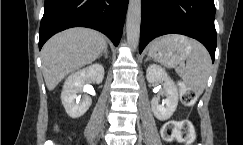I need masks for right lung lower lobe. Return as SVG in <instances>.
<instances>
[{
    "instance_id": "right-lung-lower-lobe-1",
    "label": "right lung lower lobe",
    "mask_w": 243,
    "mask_h": 145,
    "mask_svg": "<svg viewBox=\"0 0 243 145\" xmlns=\"http://www.w3.org/2000/svg\"><path fill=\"white\" fill-rule=\"evenodd\" d=\"M129 0H45L39 49L55 33L71 27H89L119 44Z\"/></svg>"
}]
</instances>
